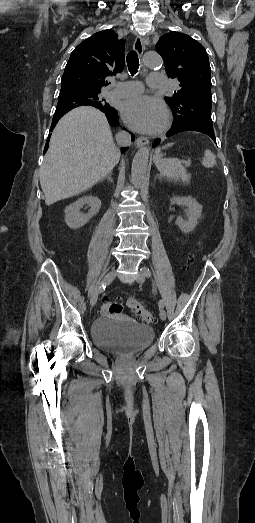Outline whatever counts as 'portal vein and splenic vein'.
I'll return each mask as SVG.
<instances>
[{
  "mask_svg": "<svg viewBox=\"0 0 255 523\" xmlns=\"http://www.w3.org/2000/svg\"><path fill=\"white\" fill-rule=\"evenodd\" d=\"M192 165V162L190 160H187L185 162V166L190 167Z\"/></svg>",
  "mask_w": 255,
  "mask_h": 523,
  "instance_id": "18ae733b",
  "label": "portal vein and splenic vein"
}]
</instances>
